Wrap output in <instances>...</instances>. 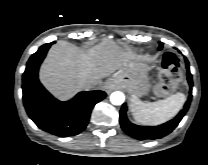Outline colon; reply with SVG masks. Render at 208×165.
<instances>
[{
  "mask_svg": "<svg viewBox=\"0 0 208 165\" xmlns=\"http://www.w3.org/2000/svg\"><path fill=\"white\" fill-rule=\"evenodd\" d=\"M181 78L180 63L177 56L173 53H165L160 62V72L155 93L164 95L174 90Z\"/></svg>",
  "mask_w": 208,
  "mask_h": 165,
  "instance_id": "5ec220e1",
  "label": "colon"
}]
</instances>
